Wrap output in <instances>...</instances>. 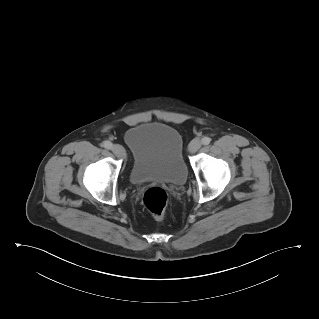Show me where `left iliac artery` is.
I'll return each mask as SVG.
<instances>
[{
  "mask_svg": "<svg viewBox=\"0 0 319 319\" xmlns=\"http://www.w3.org/2000/svg\"><path fill=\"white\" fill-rule=\"evenodd\" d=\"M210 142H211V138H209V137H204L202 139V144L203 145H208V144H210Z\"/></svg>",
  "mask_w": 319,
  "mask_h": 319,
  "instance_id": "left-iliac-artery-1",
  "label": "left iliac artery"
}]
</instances>
